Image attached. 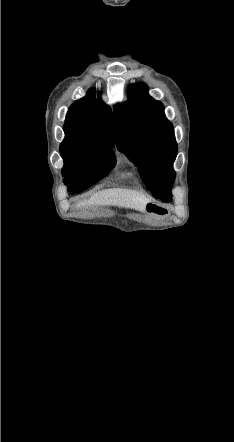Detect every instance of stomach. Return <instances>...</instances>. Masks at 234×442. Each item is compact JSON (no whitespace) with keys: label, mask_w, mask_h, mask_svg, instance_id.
I'll return each instance as SVG.
<instances>
[{"label":"stomach","mask_w":234,"mask_h":442,"mask_svg":"<svg viewBox=\"0 0 234 442\" xmlns=\"http://www.w3.org/2000/svg\"><path fill=\"white\" fill-rule=\"evenodd\" d=\"M145 210L148 213H155L156 215H164L165 210L163 208L153 204V203H147L145 206Z\"/></svg>","instance_id":"stomach-1"}]
</instances>
